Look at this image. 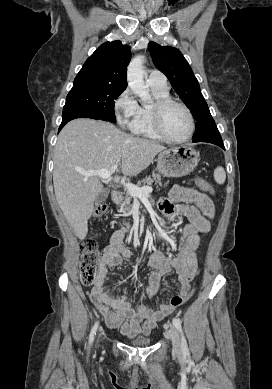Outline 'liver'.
<instances>
[{
	"label": "liver",
	"instance_id": "6515ba94",
	"mask_svg": "<svg viewBox=\"0 0 272 389\" xmlns=\"http://www.w3.org/2000/svg\"><path fill=\"white\" fill-rule=\"evenodd\" d=\"M165 149L155 141L128 135L104 121L76 119L61 130L54 149V191L67 222L80 240L88 233L95 198L103 190L96 176L86 177L82 172L110 170L121 161V172L136 176Z\"/></svg>",
	"mask_w": 272,
	"mask_h": 389
}]
</instances>
